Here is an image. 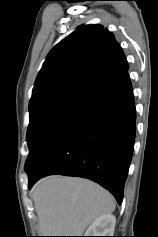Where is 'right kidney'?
<instances>
[{
    "instance_id": "right-kidney-1",
    "label": "right kidney",
    "mask_w": 158,
    "mask_h": 237,
    "mask_svg": "<svg viewBox=\"0 0 158 237\" xmlns=\"http://www.w3.org/2000/svg\"><path fill=\"white\" fill-rule=\"evenodd\" d=\"M115 223L114 215H102L89 226L84 236H113Z\"/></svg>"
}]
</instances>
